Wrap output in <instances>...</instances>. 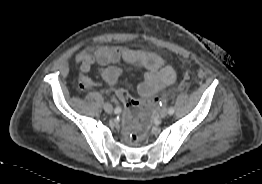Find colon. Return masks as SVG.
<instances>
[{"instance_id": "5ec220e1", "label": "colon", "mask_w": 262, "mask_h": 184, "mask_svg": "<svg viewBox=\"0 0 262 184\" xmlns=\"http://www.w3.org/2000/svg\"><path fill=\"white\" fill-rule=\"evenodd\" d=\"M116 95L124 104L127 111L126 125L133 142L141 140L148 131L151 110L162 100V97H154L144 103L134 100L129 93L122 88L116 90Z\"/></svg>"}]
</instances>
